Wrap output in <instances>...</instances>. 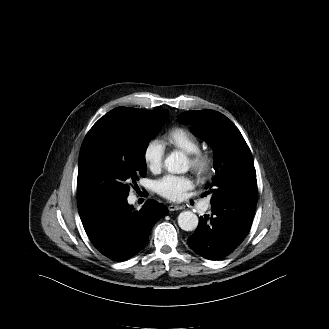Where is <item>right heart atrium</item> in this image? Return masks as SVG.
<instances>
[{"label":"right heart atrium","instance_id":"d8ad5b80","mask_svg":"<svg viewBox=\"0 0 329 329\" xmlns=\"http://www.w3.org/2000/svg\"><path fill=\"white\" fill-rule=\"evenodd\" d=\"M165 156V147L158 138L150 139L143 149V161L145 166L155 172L158 171L163 164Z\"/></svg>","mask_w":329,"mask_h":329}]
</instances>
